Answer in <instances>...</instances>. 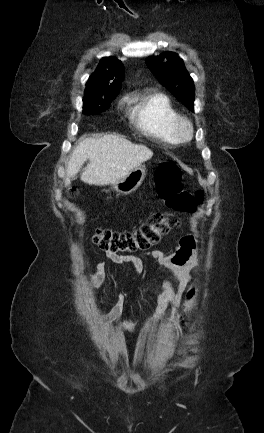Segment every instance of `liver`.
Returning a JSON list of instances; mask_svg holds the SVG:
<instances>
[{"label": "liver", "instance_id": "obj_1", "mask_svg": "<svg viewBox=\"0 0 264 433\" xmlns=\"http://www.w3.org/2000/svg\"><path fill=\"white\" fill-rule=\"evenodd\" d=\"M152 156L153 152L145 145L134 144L117 134L82 138L70 155L66 178L74 179L89 159L81 181L96 186L114 184Z\"/></svg>", "mask_w": 264, "mask_h": 433}]
</instances>
